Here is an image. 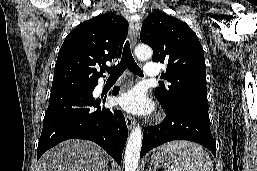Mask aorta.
Listing matches in <instances>:
<instances>
[{"instance_id": "aorta-1", "label": "aorta", "mask_w": 257, "mask_h": 171, "mask_svg": "<svg viewBox=\"0 0 257 171\" xmlns=\"http://www.w3.org/2000/svg\"><path fill=\"white\" fill-rule=\"evenodd\" d=\"M135 55L140 60H148L152 57V49L148 45L140 44L135 48ZM142 137L143 135L140 126H136L130 134L125 149V171H136L137 169Z\"/></svg>"}]
</instances>
